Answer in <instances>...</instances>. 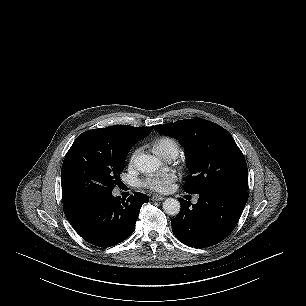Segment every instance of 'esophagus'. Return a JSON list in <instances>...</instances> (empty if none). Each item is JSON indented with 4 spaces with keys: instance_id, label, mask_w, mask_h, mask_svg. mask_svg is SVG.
<instances>
[{
    "instance_id": "esophagus-1",
    "label": "esophagus",
    "mask_w": 306,
    "mask_h": 306,
    "mask_svg": "<svg viewBox=\"0 0 306 306\" xmlns=\"http://www.w3.org/2000/svg\"><path fill=\"white\" fill-rule=\"evenodd\" d=\"M165 198L163 196H159V195H153L151 197L152 201H163Z\"/></svg>"
}]
</instances>
